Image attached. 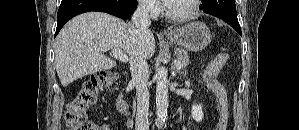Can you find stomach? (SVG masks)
Here are the masks:
<instances>
[{
    "label": "stomach",
    "instance_id": "obj_1",
    "mask_svg": "<svg viewBox=\"0 0 299 130\" xmlns=\"http://www.w3.org/2000/svg\"><path fill=\"white\" fill-rule=\"evenodd\" d=\"M166 37L188 51L198 52L205 49L211 42L212 34L202 22H191L175 29Z\"/></svg>",
    "mask_w": 299,
    "mask_h": 130
}]
</instances>
